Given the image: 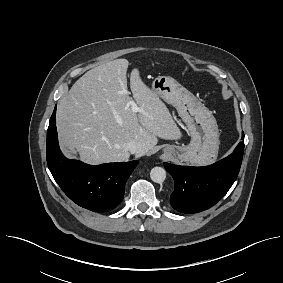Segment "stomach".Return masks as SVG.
Returning a JSON list of instances; mask_svg holds the SVG:
<instances>
[{
  "label": "stomach",
  "mask_w": 283,
  "mask_h": 283,
  "mask_svg": "<svg viewBox=\"0 0 283 283\" xmlns=\"http://www.w3.org/2000/svg\"><path fill=\"white\" fill-rule=\"evenodd\" d=\"M152 91L177 109L191 136L188 145H166L164 152L180 162L193 165L213 163L217 159L220 142L218 125L212 112L170 76L155 78Z\"/></svg>",
  "instance_id": "stomach-1"
}]
</instances>
